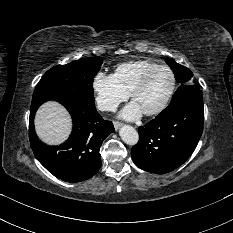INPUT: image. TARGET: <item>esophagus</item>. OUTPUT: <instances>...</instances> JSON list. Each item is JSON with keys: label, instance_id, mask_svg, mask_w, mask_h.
<instances>
[{"label": "esophagus", "instance_id": "1", "mask_svg": "<svg viewBox=\"0 0 233 233\" xmlns=\"http://www.w3.org/2000/svg\"><path fill=\"white\" fill-rule=\"evenodd\" d=\"M113 125H114L115 129L118 130L122 126V123H120L118 121H114Z\"/></svg>", "mask_w": 233, "mask_h": 233}]
</instances>
